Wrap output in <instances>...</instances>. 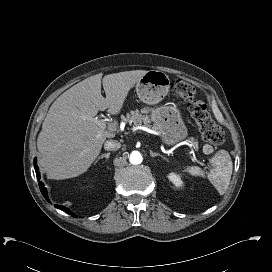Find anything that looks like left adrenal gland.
Instances as JSON below:
<instances>
[{"mask_svg":"<svg viewBox=\"0 0 272 272\" xmlns=\"http://www.w3.org/2000/svg\"><path fill=\"white\" fill-rule=\"evenodd\" d=\"M150 156L153 157V158L159 156V157L163 158L164 160H167V159H166L163 155H161L160 153L153 152V151H151V150H150Z\"/></svg>","mask_w":272,"mask_h":272,"instance_id":"a2214340","label":"left adrenal gland"}]
</instances>
